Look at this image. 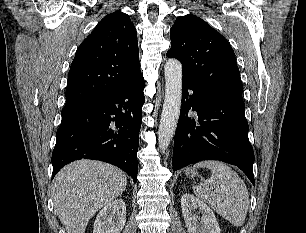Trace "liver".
<instances>
[{
  "label": "liver",
  "instance_id": "obj_1",
  "mask_svg": "<svg viewBox=\"0 0 306 233\" xmlns=\"http://www.w3.org/2000/svg\"><path fill=\"white\" fill-rule=\"evenodd\" d=\"M126 174L110 164L79 160L65 166L53 185L55 211L67 233H85L92 216L125 191Z\"/></svg>",
  "mask_w": 306,
  "mask_h": 233
}]
</instances>
